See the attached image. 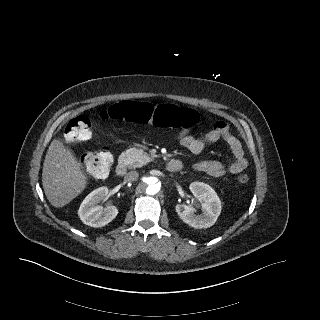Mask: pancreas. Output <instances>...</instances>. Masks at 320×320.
<instances>
[{
    "mask_svg": "<svg viewBox=\"0 0 320 320\" xmlns=\"http://www.w3.org/2000/svg\"><path fill=\"white\" fill-rule=\"evenodd\" d=\"M118 161L129 169H135L146 165L150 161V158L143 150L130 148L121 153Z\"/></svg>",
    "mask_w": 320,
    "mask_h": 320,
    "instance_id": "1",
    "label": "pancreas"
}]
</instances>
